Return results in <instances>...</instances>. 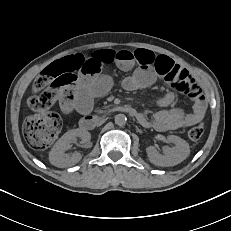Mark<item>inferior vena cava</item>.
Returning <instances> with one entry per match:
<instances>
[{
    "instance_id": "obj_1",
    "label": "inferior vena cava",
    "mask_w": 231,
    "mask_h": 231,
    "mask_svg": "<svg viewBox=\"0 0 231 231\" xmlns=\"http://www.w3.org/2000/svg\"><path fill=\"white\" fill-rule=\"evenodd\" d=\"M106 121H109V116H104V118H100V120L97 123V126H103Z\"/></svg>"
}]
</instances>
